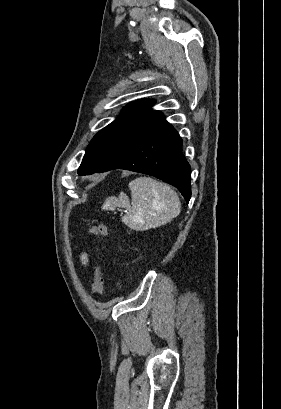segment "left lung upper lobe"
<instances>
[{
  "label": "left lung upper lobe",
  "instance_id": "obj_1",
  "mask_svg": "<svg viewBox=\"0 0 281 409\" xmlns=\"http://www.w3.org/2000/svg\"><path fill=\"white\" fill-rule=\"evenodd\" d=\"M154 103L153 100L143 99L124 107L117 119L93 137L78 174L96 173L113 157L167 124L161 112L150 109Z\"/></svg>",
  "mask_w": 281,
  "mask_h": 409
}]
</instances>
